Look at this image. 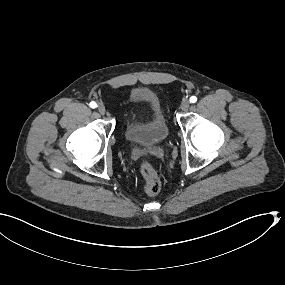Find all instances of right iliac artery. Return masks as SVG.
Masks as SVG:
<instances>
[{
    "mask_svg": "<svg viewBox=\"0 0 285 285\" xmlns=\"http://www.w3.org/2000/svg\"><path fill=\"white\" fill-rule=\"evenodd\" d=\"M90 107L91 108H96L97 104L94 101H92V102H90Z\"/></svg>",
    "mask_w": 285,
    "mask_h": 285,
    "instance_id": "obj_1",
    "label": "right iliac artery"
}]
</instances>
